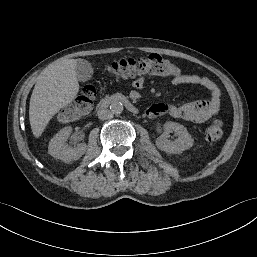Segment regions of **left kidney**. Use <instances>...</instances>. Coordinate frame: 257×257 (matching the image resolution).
<instances>
[{
    "label": "left kidney",
    "mask_w": 257,
    "mask_h": 257,
    "mask_svg": "<svg viewBox=\"0 0 257 257\" xmlns=\"http://www.w3.org/2000/svg\"><path fill=\"white\" fill-rule=\"evenodd\" d=\"M163 129V133L156 141V145L160 150L169 154H178L193 146L194 140L183 125L170 121L164 124ZM171 132H175L178 136L175 141L168 139Z\"/></svg>",
    "instance_id": "5707ae66"
}]
</instances>
